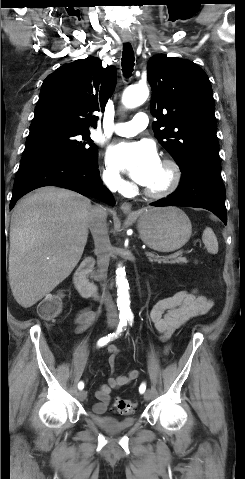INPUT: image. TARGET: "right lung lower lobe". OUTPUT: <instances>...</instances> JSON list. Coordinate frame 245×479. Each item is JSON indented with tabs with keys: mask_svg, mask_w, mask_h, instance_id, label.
I'll return each instance as SVG.
<instances>
[{
	"mask_svg": "<svg viewBox=\"0 0 245 479\" xmlns=\"http://www.w3.org/2000/svg\"><path fill=\"white\" fill-rule=\"evenodd\" d=\"M44 186L67 188L114 204L112 194L101 186L98 165L65 155H44L21 161L14 181L10 208L25 194Z\"/></svg>",
	"mask_w": 245,
	"mask_h": 479,
	"instance_id": "right-lung-lower-lobe-1",
	"label": "right lung lower lobe"
}]
</instances>
